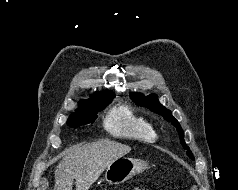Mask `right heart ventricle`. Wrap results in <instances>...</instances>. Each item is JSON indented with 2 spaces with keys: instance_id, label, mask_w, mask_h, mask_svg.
I'll return each mask as SVG.
<instances>
[{
  "instance_id": "obj_1",
  "label": "right heart ventricle",
  "mask_w": 238,
  "mask_h": 190,
  "mask_svg": "<svg viewBox=\"0 0 238 190\" xmlns=\"http://www.w3.org/2000/svg\"><path fill=\"white\" fill-rule=\"evenodd\" d=\"M103 126L115 136L131 137L146 142L156 139V131L152 123L128 105L111 109L103 121Z\"/></svg>"
}]
</instances>
